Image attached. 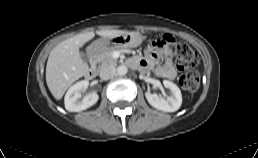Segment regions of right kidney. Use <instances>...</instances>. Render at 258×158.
I'll return each mask as SVG.
<instances>
[{
	"label": "right kidney",
	"mask_w": 258,
	"mask_h": 158,
	"mask_svg": "<svg viewBox=\"0 0 258 158\" xmlns=\"http://www.w3.org/2000/svg\"><path fill=\"white\" fill-rule=\"evenodd\" d=\"M88 86L89 82L82 80L69 88L64 98L66 110L70 112H80L96 104L99 99L97 93H89L80 100L81 91L86 90Z\"/></svg>",
	"instance_id": "obj_1"
}]
</instances>
